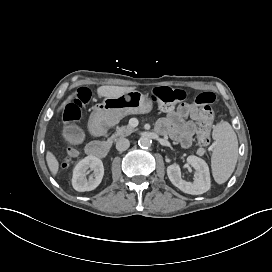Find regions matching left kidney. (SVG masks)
<instances>
[{"mask_svg": "<svg viewBox=\"0 0 272 272\" xmlns=\"http://www.w3.org/2000/svg\"><path fill=\"white\" fill-rule=\"evenodd\" d=\"M187 162L195 169L194 182H187L181 178L179 165L167 167V175L171 183L187 194L199 195L207 192L211 187L209 167L207 163L194 155L187 157Z\"/></svg>", "mask_w": 272, "mask_h": 272, "instance_id": "1", "label": "left kidney"}]
</instances>
